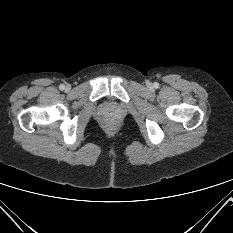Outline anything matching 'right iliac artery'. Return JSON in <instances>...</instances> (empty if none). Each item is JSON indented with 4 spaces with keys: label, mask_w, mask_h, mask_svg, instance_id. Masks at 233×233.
Returning a JSON list of instances; mask_svg holds the SVG:
<instances>
[{
    "label": "right iliac artery",
    "mask_w": 233,
    "mask_h": 233,
    "mask_svg": "<svg viewBox=\"0 0 233 233\" xmlns=\"http://www.w3.org/2000/svg\"><path fill=\"white\" fill-rule=\"evenodd\" d=\"M59 88H60V90H64V89H65V85H64V84H61V85L59 86Z\"/></svg>",
    "instance_id": "82829eb1"
}]
</instances>
